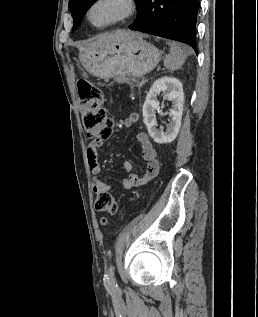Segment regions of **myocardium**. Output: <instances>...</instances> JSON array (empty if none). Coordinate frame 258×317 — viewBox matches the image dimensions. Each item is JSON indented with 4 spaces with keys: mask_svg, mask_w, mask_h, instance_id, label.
Returning <instances> with one entry per match:
<instances>
[{
    "mask_svg": "<svg viewBox=\"0 0 258 317\" xmlns=\"http://www.w3.org/2000/svg\"><path fill=\"white\" fill-rule=\"evenodd\" d=\"M109 2L120 7V13L113 19L106 22H98L93 18V10L99 3ZM135 12V4L131 0H94L88 9L87 18L89 22L97 28H108L130 18Z\"/></svg>",
    "mask_w": 258,
    "mask_h": 317,
    "instance_id": "obj_1",
    "label": "myocardium"
}]
</instances>
